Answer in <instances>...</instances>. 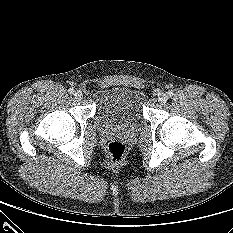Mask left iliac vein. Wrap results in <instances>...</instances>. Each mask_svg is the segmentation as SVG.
<instances>
[{
  "mask_svg": "<svg viewBox=\"0 0 233 233\" xmlns=\"http://www.w3.org/2000/svg\"><path fill=\"white\" fill-rule=\"evenodd\" d=\"M167 100H168V96L165 93H160L158 95V102L160 104H165L167 102Z\"/></svg>",
  "mask_w": 233,
  "mask_h": 233,
  "instance_id": "4c4485c4",
  "label": "left iliac vein"
}]
</instances>
